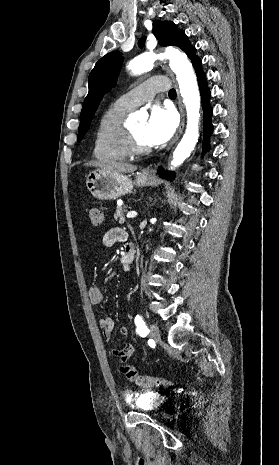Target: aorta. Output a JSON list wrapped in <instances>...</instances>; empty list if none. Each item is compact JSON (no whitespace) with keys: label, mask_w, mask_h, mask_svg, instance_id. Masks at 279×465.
Wrapping results in <instances>:
<instances>
[{"label":"aorta","mask_w":279,"mask_h":465,"mask_svg":"<svg viewBox=\"0 0 279 465\" xmlns=\"http://www.w3.org/2000/svg\"><path fill=\"white\" fill-rule=\"evenodd\" d=\"M161 56L168 58L170 61L169 65L176 74L180 93L187 112L186 130L173 152V159L171 162L173 167H177L190 156L198 142L200 94L192 64L182 52L170 49ZM155 58L154 55L149 54L139 56L129 63L128 68L135 75L141 74L153 65ZM140 115L139 112H136L133 117L138 118Z\"/></svg>","instance_id":"762f6f07"}]
</instances>
